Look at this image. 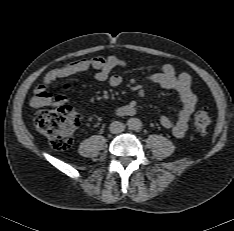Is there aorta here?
<instances>
[{
    "mask_svg": "<svg viewBox=\"0 0 234 231\" xmlns=\"http://www.w3.org/2000/svg\"><path fill=\"white\" fill-rule=\"evenodd\" d=\"M127 124H128L129 129L135 130V131L140 130L142 127V122L138 118L129 119Z\"/></svg>",
    "mask_w": 234,
    "mask_h": 231,
    "instance_id": "aorta-1",
    "label": "aorta"
}]
</instances>
